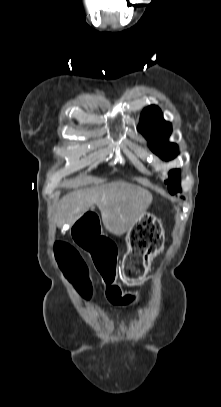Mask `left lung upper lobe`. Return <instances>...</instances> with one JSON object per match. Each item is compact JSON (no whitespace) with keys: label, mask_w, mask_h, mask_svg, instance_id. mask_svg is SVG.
Masks as SVG:
<instances>
[{"label":"left lung upper lobe","mask_w":221,"mask_h":407,"mask_svg":"<svg viewBox=\"0 0 221 407\" xmlns=\"http://www.w3.org/2000/svg\"><path fill=\"white\" fill-rule=\"evenodd\" d=\"M138 130L149 141L150 149L163 160H171L178 154L176 144L168 143L167 138L172 132L171 123L163 119L157 106L145 108L141 114ZM180 170L169 172V192L175 194L181 190L179 185Z\"/></svg>","instance_id":"5c2ea615"}]
</instances>
